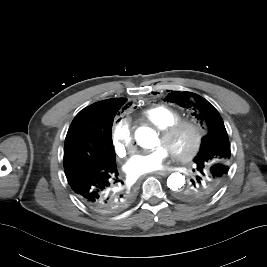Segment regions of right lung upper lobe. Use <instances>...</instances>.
<instances>
[{
	"label": "right lung upper lobe",
	"mask_w": 267,
	"mask_h": 267,
	"mask_svg": "<svg viewBox=\"0 0 267 267\" xmlns=\"http://www.w3.org/2000/svg\"><path fill=\"white\" fill-rule=\"evenodd\" d=\"M126 101V98H114L94 103L81 110L72 121L71 126L77 124L84 126L96 138L102 140L112 128V125L107 123L109 113L120 109Z\"/></svg>",
	"instance_id": "right-lung-upper-lobe-1"
}]
</instances>
